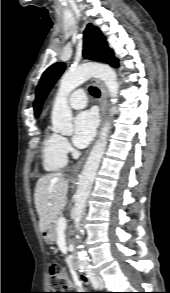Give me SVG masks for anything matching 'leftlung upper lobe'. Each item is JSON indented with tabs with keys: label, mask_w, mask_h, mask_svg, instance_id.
Here are the masks:
<instances>
[{
	"label": "left lung upper lobe",
	"mask_w": 170,
	"mask_h": 293,
	"mask_svg": "<svg viewBox=\"0 0 170 293\" xmlns=\"http://www.w3.org/2000/svg\"><path fill=\"white\" fill-rule=\"evenodd\" d=\"M83 56L85 58L102 61L108 64H111L115 59L113 51L109 49L105 37L97 27L92 26L91 24L87 25L84 32ZM64 69V63H55L43 73L36 90V99L34 101L35 116H38L40 113L46 95L63 73Z\"/></svg>",
	"instance_id": "obj_1"
}]
</instances>
